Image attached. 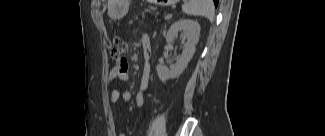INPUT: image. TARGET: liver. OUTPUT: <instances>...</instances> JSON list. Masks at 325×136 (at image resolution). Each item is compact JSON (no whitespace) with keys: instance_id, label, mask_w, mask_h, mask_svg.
Wrapping results in <instances>:
<instances>
[{"instance_id":"1","label":"liver","mask_w":325,"mask_h":136,"mask_svg":"<svg viewBox=\"0 0 325 136\" xmlns=\"http://www.w3.org/2000/svg\"><path fill=\"white\" fill-rule=\"evenodd\" d=\"M113 5H114V0H109L108 1V14L111 18H114L112 16V9H113Z\"/></svg>"}]
</instances>
